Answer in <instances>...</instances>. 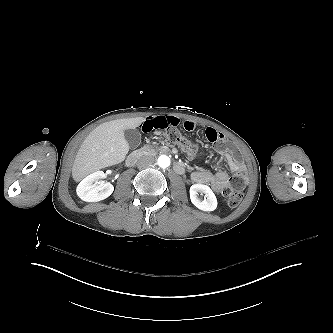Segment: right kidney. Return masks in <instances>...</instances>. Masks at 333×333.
Here are the masks:
<instances>
[{"instance_id": "ca27d5eb", "label": "right kidney", "mask_w": 333, "mask_h": 333, "mask_svg": "<svg viewBox=\"0 0 333 333\" xmlns=\"http://www.w3.org/2000/svg\"><path fill=\"white\" fill-rule=\"evenodd\" d=\"M106 178L103 171H96L85 177L77 186V195L86 202H98L109 197L114 187L111 183H100V179Z\"/></svg>"}]
</instances>
